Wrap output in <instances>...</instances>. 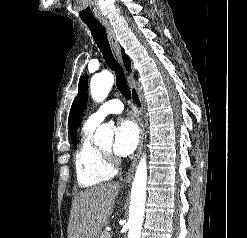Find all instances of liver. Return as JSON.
Instances as JSON below:
<instances>
[{
  "mask_svg": "<svg viewBox=\"0 0 247 238\" xmlns=\"http://www.w3.org/2000/svg\"><path fill=\"white\" fill-rule=\"evenodd\" d=\"M119 190L118 183L110 182L81 191L72 203L68 238H99Z\"/></svg>",
  "mask_w": 247,
  "mask_h": 238,
  "instance_id": "6515ba94",
  "label": "liver"
}]
</instances>
